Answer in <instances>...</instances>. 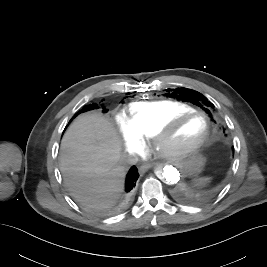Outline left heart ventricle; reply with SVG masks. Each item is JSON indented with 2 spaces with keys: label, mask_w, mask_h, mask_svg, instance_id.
I'll use <instances>...</instances> for the list:
<instances>
[{
  "label": "left heart ventricle",
  "mask_w": 267,
  "mask_h": 267,
  "mask_svg": "<svg viewBox=\"0 0 267 267\" xmlns=\"http://www.w3.org/2000/svg\"><path fill=\"white\" fill-rule=\"evenodd\" d=\"M204 129L205 121L201 116H189L172 130L169 144L184 146L193 143L202 136Z\"/></svg>",
  "instance_id": "obj_1"
}]
</instances>
